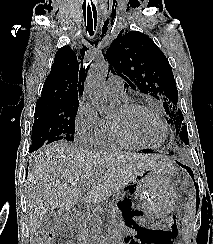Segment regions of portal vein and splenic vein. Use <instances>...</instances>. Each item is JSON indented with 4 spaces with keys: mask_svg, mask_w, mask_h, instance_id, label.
I'll return each mask as SVG.
<instances>
[{
    "mask_svg": "<svg viewBox=\"0 0 213 244\" xmlns=\"http://www.w3.org/2000/svg\"><path fill=\"white\" fill-rule=\"evenodd\" d=\"M84 186L87 188V187H89L90 185H89V184H86V185H84Z\"/></svg>",
    "mask_w": 213,
    "mask_h": 244,
    "instance_id": "obj_1",
    "label": "portal vein and splenic vein"
}]
</instances>
